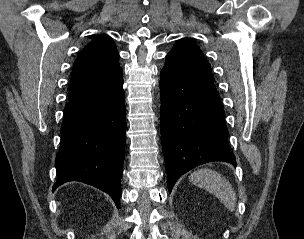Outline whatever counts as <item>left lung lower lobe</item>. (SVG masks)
I'll list each match as a JSON object with an SVG mask.
<instances>
[{
  "label": "left lung lower lobe",
  "instance_id": "obj_1",
  "mask_svg": "<svg viewBox=\"0 0 304 239\" xmlns=\"http://www.w3.org/2000/svg\"><path fill=\"white\" fill-rule=\"evenodd\" d=\"M161 137L168 190L192 168L212 161L236 165L225 112L213 80L167 55L161 79Z\"/></svg>",
  "mask_w": 304,
  "mask_h": 239
}]
</instances>
